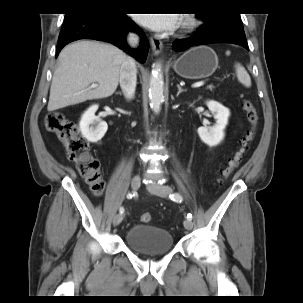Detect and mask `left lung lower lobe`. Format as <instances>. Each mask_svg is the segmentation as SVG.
Masks as SVG:
<instances>
[{
	"instance_id": "1",
	"label": "left lung lower lobe",
	"mask_w": 303,
	"mask_h": 303,
	"mask_svg": "<svg viewBox=\"0 0 303 303\" xmlns=\"http://www.w3.org/2000/svg\"><path fill=\"white\" fill-rule=\"evenodd\" d=\"M195 33L197 35L191 38L174 41V50L181 52L192 46L223 42L237 44L249 50L243 29H207L202 26Z\"/></svg>"
}]
</instances>
